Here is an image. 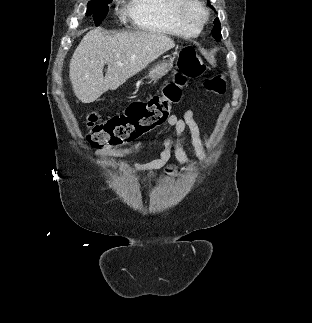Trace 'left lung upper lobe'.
I'll list each match as a JSON object with an SVG mask.
<instances>
[{"mask_svg": "<svg viewBox=\"0 0 312 323\" xmlns=\"http://www.w3.org/2000/svg\"><path fill=\"white\" fill-rule=\"evenodd\" d=\"M208 3L210 4L209 0H208ZM210 7L212 9H214V7L212 5H210ZM215 26H214V30H213V33H212V36L216 39V40H220V38H222V35H221V26H220V22H219V19H215Z\"/></svg>", "mask_w": 312, "mask_h": 323, "instance_id": "1", "label": "left lung upper lobe"}]
</instances>
